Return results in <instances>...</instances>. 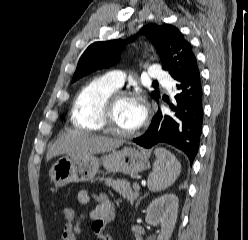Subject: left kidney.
Here are the masks:
<instances>
[{
  "instance_id": "obj_1",
  "label": "left kidney",
  "mask_w": 248,
  "mask_h": 240,
  "mask_svg": "<svg viewBox=\"0 0 248 240\" xmlns=\"http://www.w3.org/2000/svg\"><path fill=\"white\" fill-rule=\"evenodd\" d=\"M178 197L166 194L153 200L146 211V222L150 225H161L157 240H169L175 228L178 214Z\"/></svg>"
}]
</instances>
